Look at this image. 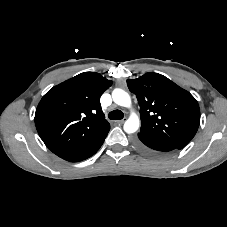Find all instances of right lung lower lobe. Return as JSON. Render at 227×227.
<instances>
[{
	"label": "right lung lower lobe",
	"mask_w": 227,
	"mask_h": 227,
	"mask_svg": "<svg viewBox=\"0 0 227 227\" xmlns=\"http://www.w3.org/2000/svg\"><path fill=\"white\" fill-rule=\"evenodd\" d=\"M106 138V137H105ZM104 139H102L94 148H92L91 150L89 151H86V152H83V153H79V154H76V155H73V156H70L68 158H66L65 160L67 161H70V162H78V161H81V160H84V159H87L89 157H91L92 155H94L97 150L101 147V145L103 144L104 142Z\"/></svg>",
	"instance_id": "right-lung-lower-lobe-1"
}]
</instances>
